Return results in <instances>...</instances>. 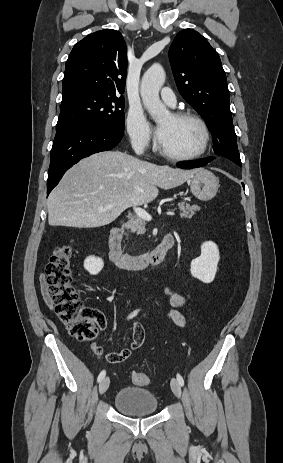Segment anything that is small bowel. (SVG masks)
<instances>
[{
    "label": "small bowel",
    "mask_w": 283,
    "mask_h": 463,
    "mask_svg": "<svg viewBox=\"0 0 283 463\" xmlns=\"http://www.w3.org/2000/svg\"><path fill=\"white\" fill-rule=\"evenodd\" d=\"M41 289H42L45 301L50 305V300L47 294V285L44 282V280L41 282ZM163 293L169 298V301L171 305L173 306V309H171L170 312L168 313L169 319L172 320L176 325L183 327L185 325V319L178 309L186 304L187 302L186 297L183 294L173 291L168 287H163ZM132 328H133V338H132L131 345L128 348H124V349H121L120 351L115 352V354H117L119 358L118 362L116 363L127 360L130 357L132 351L140 348L145 342V338H146L145 328L137 322L133 323Z\"/></svg>",
    "instance_id": "small-bowel-1"
}]
</instances>
